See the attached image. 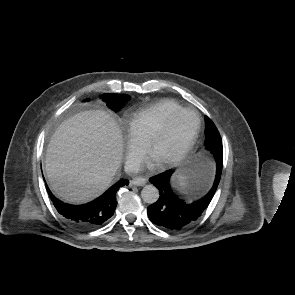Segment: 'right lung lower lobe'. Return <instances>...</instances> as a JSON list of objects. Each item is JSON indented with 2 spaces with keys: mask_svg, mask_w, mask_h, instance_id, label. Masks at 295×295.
<instances>
[{
  "mask_svg": "<svg viewBox=\"0 0 295 295\" xmlns=\"http://www.w3.org/2000/svg\"><path fill=\"white\" fill-rule=\"evenodd\" d=\"M128 184V180L122 179L99 198L80 206L62 203L53 196L48 187L46 188L55 208L69 223L77 228L91 229L101 225L114 214L117 206L116 192L120 187Z\"/></svg>",
  "mask_w": 295,
  "mask_h": 295,
  "instance_id": "1",
  "label": "right lung lower lobe"
}]
</instances>
